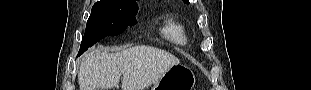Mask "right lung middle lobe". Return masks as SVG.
I'll use <instances>...</instances> for the list:
<instances>
[{"instance_id":"obj_1","label":"right lung middle lobe","mask_w":311,"mask_h":90,"mask_svg":"<svg viewBox=\"0 0 311 90\" xmlns=\"http://www.w3.org/2000/svg\"><path fill=\"white\" fill-rule=\"evenodd\" d=\"M137 11L138 5L132 3L118 1L95 3L87 21L79 55L97 41L107 36L121 34L128 26L136 24Z\"/></svg>"}]
</instances>
